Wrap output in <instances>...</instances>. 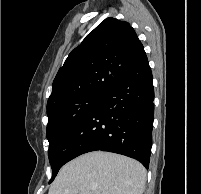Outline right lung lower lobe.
<instances>
[{"label":"right lung lower lobe","mask_w":201,"mask_h":194,"mask_svg":"<svg viewBox=\"0 0 201 194\" xmlns=\"http://www.w3.org/2000/svg\"><path fill=\"white\" fill-rule=\"evenodd\" d=\"M152 80L146 58L106 91L63 137L54 152L58 167L81 154L102 150L134 158L148 169L154 119Z\"/></svg>","instance_id":"right-lung-lower-lobe-1"}]
</instances>
